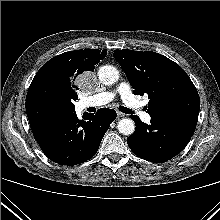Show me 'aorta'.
<instances>
[{
    "mask_svg": "<svg viewBox=\"0 0 220 220\" xmlns=\"http://www.w3.org/2000/svg\"><path fill=\"white\" fill-rule=\"evenodd\" d=\"M98 78L104 85H112L119 80L118 70L111 65H104L98 70ZM118 131L123 135H131L135 131V123L130 118H123L117 124Z\"/></svg>",
    "mask_w": 220,
    "mask_h": 220,
    "instance_id": "aorta-1",
    "label": "aorta"
}]
</instances>
